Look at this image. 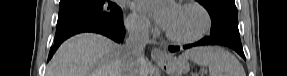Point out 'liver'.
<instances>
[{
	"label": "liver",
	"mask_w": 287,
	"mask_h": 76,
	"mask_svg": "<svg viewBox=\"0 0 287 76\" xmlns=\"http://www.w3.org/2000/svg\"><path fill=\"white\" fill-rule=\"evenodd\" d=\"M146 61V60H145ZM123 47L94 33H81L66 40L47 66V76H122ZM151 64L139 70L147 76Z\"/></svg>",
	"instance_id": "obj_1"
}]
</instances>
